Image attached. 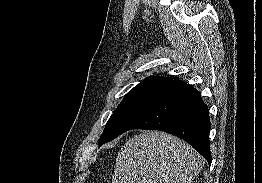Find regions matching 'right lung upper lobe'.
<instances>
[{"instance_id": "1", "label": "right lung upper lobe", "mask_w": 262, "mask_h": 183, "mask_svg": "<svg viewBox=\"0 0 262 183\" xmlns=\"http://www.w3.org/2000/svg\"><path fill=\"white\" fill-rule=\"evenodd\" d=\"M174 81L167 77L150 76L135 86L130 92L156 91L158 92L164 86Z\"/></svg>"}]
</instances>
